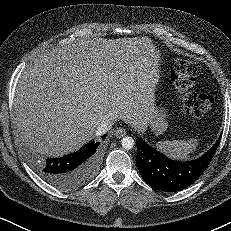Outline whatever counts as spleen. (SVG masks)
I'll list each match as a JSON object with an SVG mask.
<instances>
[{"label":"spleen","instance_id":"obj_1","mask_svg":"<svg viewBox=\"0 0 231 231\" xmlns=\"http://www.w3.org/2000/svg\"><path fill=\"white\" fill-rule=\"evenodd\" d=\"M198 145L197 139L159 141L156 147L163 154L177 160H187L189 154L193 153Z\"/></svg>","mask_w":231,"mask_h":231}]
</instances>
